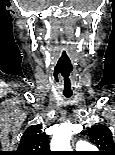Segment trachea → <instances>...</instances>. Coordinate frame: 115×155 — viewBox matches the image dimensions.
Returning a JSON list of instances; mask_svg holds the SVG:
<instances>
[{"instance_id":"3493384b","label":"trachea","mask_w":115,"mask_h":155,"mask_svg":"<svg viewBox=\"0 0 115 155\" xmlns=\"http://www.w3.org/2000/svg\"><path fill=\"white\" fill-rule=\"evenodd\" d=\"M62 90V96H65L66 98L73 96V90H71V87H62Z\"/></svg>"}]
</instances>
